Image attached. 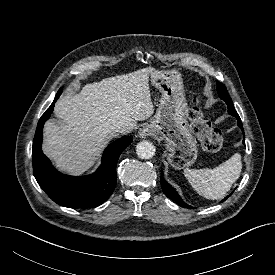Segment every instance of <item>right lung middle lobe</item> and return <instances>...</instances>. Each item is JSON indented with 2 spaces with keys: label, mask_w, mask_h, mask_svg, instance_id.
Here are the masks:
<instances>
[{
  "label": "right lung middle lobe",
  "mask_w": 275,
  "mask_h": 275,
  "mask_svg": "<svg viewBox=\"0 0 275 275\" xmlns=\"http://www.w3.org/2000/svg\"><path fill=\"white\" fill-rule=\"evenodd\" d=\"M61 91H62V88H60V90H59L58 92H60V93H61Z\"/></svg>",
  "instance_id": "obj_1"
}]
</instances>
